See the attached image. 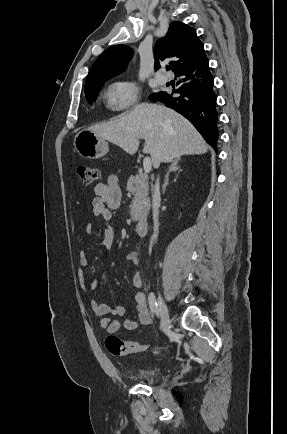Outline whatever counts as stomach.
Returning <instances> with one entry per match:
<instances>
[{
  "instance_id": "stomach-1",
  "label": "stomach",
  "mask_w": 287,
  "mask_h": 434,
  "mask_svg": "<svg viewBox=\"0 0 287 434\" xmlns=\"http://www.w3.org/2000/svg\"><path fill=\"white\" fill-rule=\"evenodd\" d=\"M78 154L86 159H98L108 153V143L89 129L80 130L74 138Z\"/></svg>"
}]
</instances>
